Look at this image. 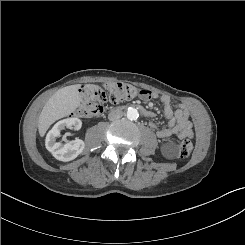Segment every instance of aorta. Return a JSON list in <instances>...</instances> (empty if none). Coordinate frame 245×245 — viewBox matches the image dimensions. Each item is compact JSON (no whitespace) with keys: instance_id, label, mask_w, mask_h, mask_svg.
Here are the masks:
<instances>
[{"instance_id":"aorta-1","label":"aorta","mask_w":245,"mask_h":245,"mask_svg":"<svg viewBox=\"0 0 245 245\" xmlns=\"http://www.w3.org/2000/svg\"><path fill=\"white\" fill-rule=\"evenodd\" d=\"M126 116L130 120H135L139 117L138 110L136 108L129 107L126 111Z\"/></svg>"}]
</instances>
